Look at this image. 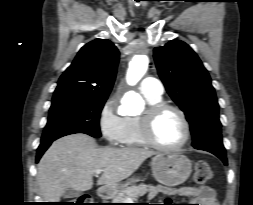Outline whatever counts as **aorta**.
I'll use <instances>...</instances> for the list:
<instances>
[{
    "label": "aorta",
    "instance_id": "aorta-1",
    "mask_svg": "<svg viewBox=\"0 0 253 205\" xmlns=\"http://www.w3.org/2000/svg\"><path fill=\"white\" fill-rule=\"evenodd\" d=\"M148 57L146 55H135L129 64L127 81L130 85H135L145 74L148 67ZM133 100L132 105H127L128 110H133L141 102L140 97L135 93H130Z\"/></svg>",
    "mask_w": 253,
    "mask_h": 205
}]
</instances>
